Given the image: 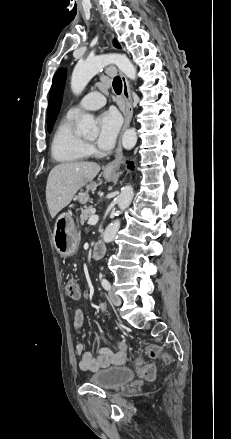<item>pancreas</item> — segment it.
Listing matches in <instances>:
<instances>
[{"mask_svg": "<svg viewBox=\"0 0 231 439\" xmlns=\"http://www.w3.org/2000/svg\"><path fill=\"white\" fill-rule=\"evenodd\" d=\"M95 210L93 208V206H89L87 208H85L84 210H82V213L80 215V222L81 224H84L89 217H91L92 215H94Z\"/></svg>", "mask_w": 231, "mask_h": 439, "instance_id": "1", "label": "pancreas"}]
</instances>
